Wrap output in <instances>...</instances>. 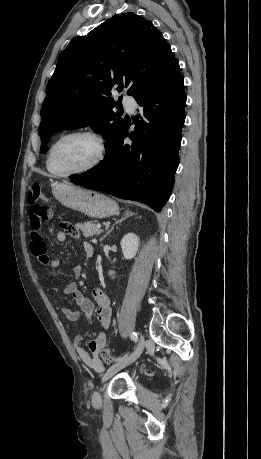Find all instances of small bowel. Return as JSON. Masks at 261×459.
<instances>
[{"mask_svg": "<svg viewBox=\"0 0 261 459\" xmlns=\"http://www.w3.org/2000/svg\"><path fill=\"white\" fill-rule=\"evenodd\" d=\"M49 232L59 243L66 240L67 232L65 231L55 232L54 228L50 227ZM30 250L32 255L49 271H53L57 268L59 261L55 256L48 254L41 234H30ZM83 251L86 257L93 256L94 249L92 245L87 242L83 243ZM81 273L82 266L76 265L73 268L74 276L78 278L81 276ZM63 293L71 296L77 305V309L68 307L61 308V312L67 320L78 321L81 317H84L85 322L89 324L93 313H96L101 326L104 329L110 327L112 317L110 299L102 289L92 290V299H90L79 289L75 282H70L64 285ZM107 340V334L105 332H100L94 339L89 341L88 349H86L83 347L84 337L78 334L73 340V346L78 357L84 364L94 370H101L103 366L99 359V351L106 346Z\"/></svg>", "mask_w": 261, "mask_h": 459, "instance_id": "small-bowel-1", "label": "small bowel"}]
</instances>
